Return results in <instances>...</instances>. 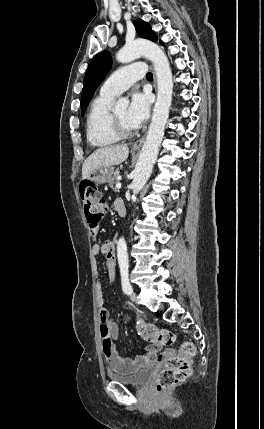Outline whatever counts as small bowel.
<instances>
[{
  "label": "small bowel",
  "mask_w": 264,
  "mask_h": 429,
  "mask_svg": "<svg viewBox=\"0 0 264 429\" xmlns=\"http://www.w3.org/2000/svg\"><path fill=\"white\" fill-rule=\"evenodd\" d=\"M121 200H116L114 206L121 203ZM92 235H96L97 230H91ZM92 254L97 257L100 254L106 257V269L110 281L114 280L116 265L113 260L115 254L114 243L112 241H106L104 243H95L92 246ZM97 301L99 305L100 315V332L102 338L103 352L106 360L112 371L119 374H127L137 371L140 368L147 367L158 360V352L160 346L150 344L146 347V351L142 355H138L135 358L122 357L118 354L114 340L118 337L119 326L111 318H109L108 312L104 307V296L101 287L97 291ZM172 354L171 352H165L164 356Z\"/></svg>",
  "instance_id": "1"
}]
</instances>
